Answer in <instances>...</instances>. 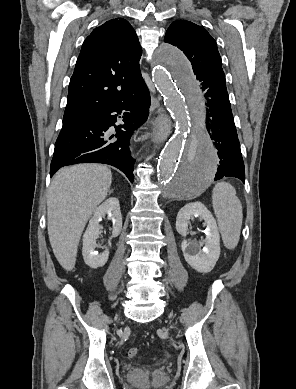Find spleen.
Instances as JSON below:
<instances>
[{"label": "spleen", "mask_w": 296, "mask_h": 389, "mask_svg": "<svg viewBox=\"0 0 296 389\" xmlns=\"http://www.w3.org/2000/svg\"><path fill=\"white\" fill-rule=\"evenodd\" d=\"M212 204L223 243L226 248L234 249L240 239L243 220L235 188L226 182L217 183L212 191Z\"/></svg>", "instance_id": "1"}]
</instances>
